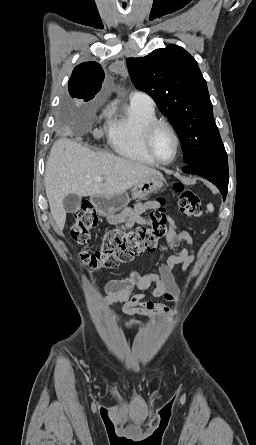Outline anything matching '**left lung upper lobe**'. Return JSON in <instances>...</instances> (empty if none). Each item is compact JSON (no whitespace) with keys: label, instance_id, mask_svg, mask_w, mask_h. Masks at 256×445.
I'll return each mask as SVG.
<instances>
[{"label":"left lung upper lobe","instance_id":"5c2ea615","mask_svg":"<svg viewBox=\"0 0 256 445\" xmlns=\"http://www.w3.org/2000/svg\"><path fill=\"white\" fill-rule=\"evenodd\" d=\"M127 67L135 87L148 93L174 125L186 164L227 155L206 81L187 51L171 44L145 57L128 58Z\"/></svg>","mask_w":256,"mask_h":445}]
</instances>
